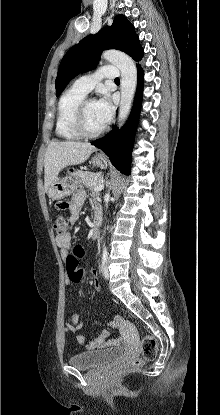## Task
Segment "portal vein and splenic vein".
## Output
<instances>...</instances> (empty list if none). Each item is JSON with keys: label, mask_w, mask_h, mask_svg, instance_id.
<instances>
[{"label": "portal vein and splenic vein", "mask_w": 220, "mask_h": 415, "mask_svg": "<svg viewBox=\"0 0 220 415\" xmlns=\"http://www.w3.org/2000/svg\"><path fill=\"white\" fill-rule=\"evenodd\" d=\"M103 188H104V184L103 183H100L98 186H96L94 188V191L98 192V191H101Z\"/></svg>", "instance_id": "18ae733b"}]
</instances>
